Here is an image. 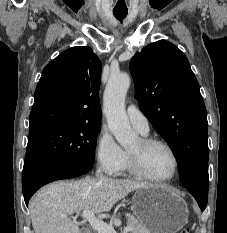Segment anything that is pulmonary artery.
<instances>
[{
  "label": "pulmonary artery",
  "instance_id": "obj_1",
  "mask_svg": "<svg viewBox=\"0 0 227 233\" xmlns=\"http://www.w3.org/2000/svg\"><path fill=\"white\" fill-rule=\"evenodd\" d=\"M127 116L132 126L142 134H148L149 122L147 117L133 104L127 107Z\"/></svg>",
  "mask_w": 227,
  "mask_h": 233
}]
</instances>
